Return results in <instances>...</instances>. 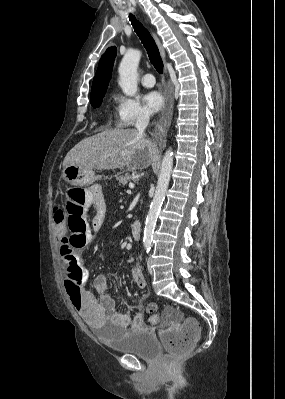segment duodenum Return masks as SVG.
I'll use <instances>...</instances> for the list:
<instances>
[{
  "label": "duodenum",
  "instance_id": "410a0bca",
  "mask_svg": "<svg viewBox=\"0 0 285 399\" xmlns=\"http://www.w3.org/2000/svg\"><path fill=\"white\" fill-rule=\"evenodd\" d=\"M131 232L135 241H140L142 236V227L139 221H135L131 225Z\"/></svg>",
  "mask_w": 285,
  "mask_h": 399
}]
</instances>
